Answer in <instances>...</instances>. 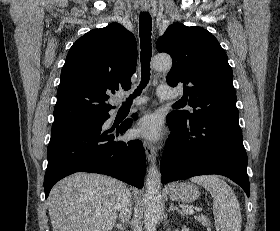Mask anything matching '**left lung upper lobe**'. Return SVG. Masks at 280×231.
I'll return each instance as SVG.
<instances>
[{"label":"left lung upper lobe","instance_id":"left-lung-upper-lobe-1","mask_svg":"<svg viewBox=\"0 0 280 231\" xmlns=\"http://www.w3.org/2000/svg\"><path fill=\"white\" fill-rule=\"evenodd\" d=\"M157 50L171 55L170 86L184 88V102L194 108L171 114L183 123L200 118H237L233 72L217 39L201 27L170 25L157 41Z\"/></svg>","mask_w":280,"mask_h":231}]
</instances>
